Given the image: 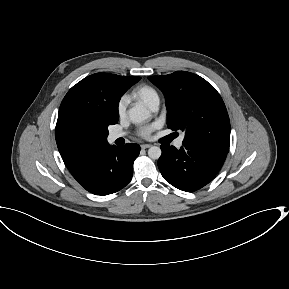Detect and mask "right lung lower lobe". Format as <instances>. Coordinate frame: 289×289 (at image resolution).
<instances>
[{"mask_svg":"<svg viewBox=\"0 0 289 289\" xmlns=\"http://www.w3.org/2000/svg\"><path fill=\"white\" fill-rule=\"evenodd\" d=\"M139 152L140 146L135 143L120 147L109 145L85 159L72 175L93 194L115 193L131 181L133 163Z\"/></svg>","mask_w":289,"mask_h":289,"instance_id":"obj_1","label":"right lung lower lobe"}]
</instances>
